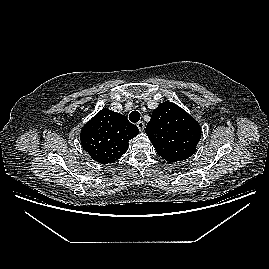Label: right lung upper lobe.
Returning <instances> with one entry per match:
<instances>
[{
	"label": "right lung upper lobe",
	"mask_w": 269,
	"mask_h": 269,
	"mask_svg": "<svg viewBox=\"0 0 269 269\" xmlns=\"http://www.w3.org/2000/svg\"><path fill=\"white\" fill-rule=\"evenodd\" d=\"M138 133V128L124 115L103 108L83 127L80 140L93 160L108 164L126 152L129 140Z\"/></svg>",
	"instance_id": "1"
}]
</instances>
